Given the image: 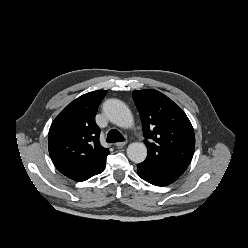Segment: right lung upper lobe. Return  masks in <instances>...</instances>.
Returning a JSON list of instances; mask_svg holds the SVG:
<instances>
[{"mask_svg": "<svg viewBox=\"0 0 248 248\" xmlns=\"http://www.w3.org/2000/svg\"><path fill=\"white\" fill-rule=\"evenodd\" d=\"M105 90L86 93L71 102L49 129L48 149L56 168L68 178L82 182L101 173L109 150L99 142L94 122Z\"/></svg>", "mask_w": 248, "mask_h": 248, "instance_id": "1", "label": "right lung upper lobe"}]
</instances>
